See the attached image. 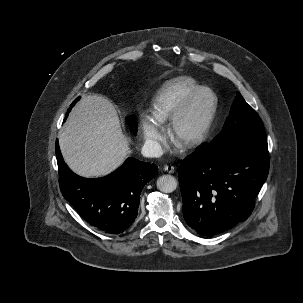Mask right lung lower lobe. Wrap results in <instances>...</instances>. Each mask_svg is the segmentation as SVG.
<instances>
[{
  "instance_id": "1",
  "label": "right lung lower lobe",
  "mask_w": 303,
  "mask_h": 303,
  "mask_svg": "<svg viewBox=\"0 0 303 303\" xmlns=\"http://www.w3.org/2000/svg\"><path fill=\"white\" fill-rule=\"evenodd\" d=\"M59 185L64 198L96 228L111 234L127 231L138 214L140 194L158 171L155 164L129 158L110 175L87 179L73 173L55 145Z\"/></svg>"
}]
</instances>
